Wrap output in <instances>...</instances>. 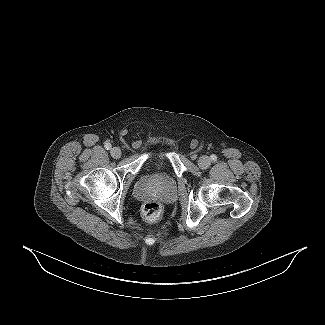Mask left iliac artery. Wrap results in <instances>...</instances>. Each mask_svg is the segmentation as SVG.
<instances>
[{"mask_svg":"<svg viewBox=\"0 0 325 325\" xmlns=\"http://www.w3.org/2000/svg\"><path fill=\"white\" fill-rule=\"evenodd\" d=\"M211 160L215 162V161L217 160V156H216V155H214V154H213V155H211Z\"/></svg>","mask_w":325,"mask_h":325,"instance_id":"obj_1","label":"left iliac artery"}]
</instances>
